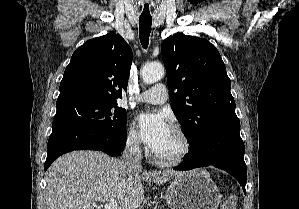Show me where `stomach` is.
Returning a JSON list of instances; mask_svg holds the SVG:
<instances>
[{
  "mask_svg": "<svg viewBox=\"0 0 299 209\" xmlns=\"http://www.w3.org/2000/svg\"><path fill=\"white\" fill-rule=\"evenodd\" d=\"M170 209H217L221 195L205 170H192L176 177L166 191Z\"/></svg>",
  "mask_w": 299,
  "mask_h": 209,
  "instance_id": "0dacf381",
  "label": "stomach"
}]
</instances>
